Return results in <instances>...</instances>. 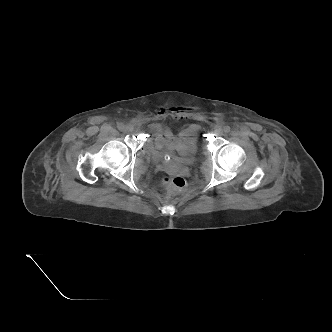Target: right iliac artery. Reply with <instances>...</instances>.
<instances>
[{
	"instance_id": "1",
	"label": "right iliac artery",
	"mask_w": 332,
	"mask_h": 332,
	"mask_svg": "<svg viewBox=\"0 0 332 332\" xmlns=\"http://www.w3.org/2000/svg\"><path fill=\"white\" fill-rule=\"evenodd\" d=\"M119 130H123L124 129V124L123 123H118L117 125Z\"/></svg>"
}]
</instances>
